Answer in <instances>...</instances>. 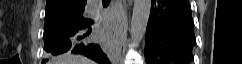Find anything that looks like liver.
I'll return each instance as SVG.
<instances>
[{
  "label": "liver",
  "instance_id": "obj_1",
  "mask_svg": "<svg viewBox=\"0 0 242 64\" xmlns=\"http://www.w3.org/2000/svg\"><path fill=\"white\" fill-rule=\"evenodd\" d=\"M50 64H95L94 61L80 55L64 54L57 56Z\"/></svg>",
  "mask_w": 242,
  "mask_h": 64
}]
</instances>
